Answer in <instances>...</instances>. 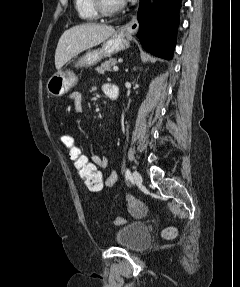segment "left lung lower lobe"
Segmentation results:
<instances>
[{"instance_id": "left-lung-lower-lobe-1", "label": "left lung lower lobe", "mask_w": 240, "mask_h": 287, "mask_svg": "<svg viewBox=\"0 0 240 287\" xmlns=\"http://www.w3.org/2000/svg\"><path fill=\"white\" fill-rule=\"evenodd\" d=\"M158 4L156 10L150 6L149 0H140L137 37L146 51L172 59L181 0H158Z\"/></svg>"}]
</instances>
